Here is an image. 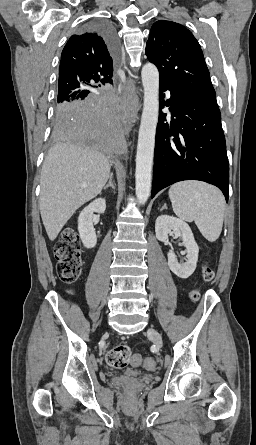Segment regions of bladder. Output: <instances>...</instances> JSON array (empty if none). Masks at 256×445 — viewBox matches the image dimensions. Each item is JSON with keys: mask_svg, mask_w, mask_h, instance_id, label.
Masks as SVG:
<instances>
[{"mask_svg": "<svg viewBox=\"0 0 256 445\" xmlns=\"http://www.w3.org/2000/svg\"><path fill=\"white\" fill-rule=\"evenodd\" d=\"M125 374L128 375V376H134V377H136V376H139V375H140V372L137 371V370H135V369H127V370L125 371Z\"/></svg>", "mask_w": 256, "mask_h": 445, "instance_id": "31cf9c89", "label": "bladder"}]
</instances>
